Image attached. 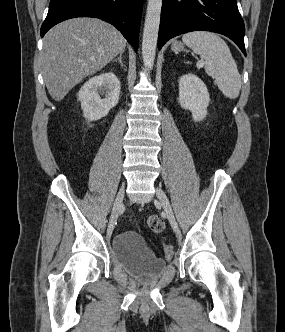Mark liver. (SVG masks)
I'll return each instance as SVG.
<instances>
[{
  "label": "liver",
  "mask_w": 285,
  "mask_h": 332,
  "mask_svg": "<svg viewBox=\"0 0 285 332\" xmlns=\"http://www.w3.org/2000/svg\"><path fill=\"white\" fill-rule=\"evenodd\" d=\"M126 40L112 25L94 18H73L50 29L42 52L43 77L49 94L61 101L85 77L124 52Z\"/></svg>",
  "instance_id": "6515ba94"
}]
</instances>
